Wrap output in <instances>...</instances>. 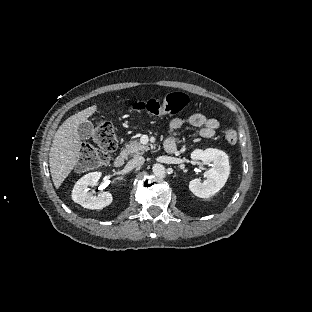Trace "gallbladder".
I'll return each mask as SVG.
<instances>
[{"label": "gallbladder", "mask_w": 312, "mask_h": 312, "mask_svg": "<svg viewBox=\"0 0 312 312\" xmlns=\"http://www.w3.org/2000/svg\"><path fill=\"white\" fill-rule=\"evenodd\" d=\"M93 128L94 126L90 121L83 122L78 126V134L82 139H89Z\"/></svg>", "instance_id": "bac80fb5"}]
</instances>
